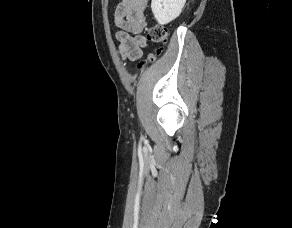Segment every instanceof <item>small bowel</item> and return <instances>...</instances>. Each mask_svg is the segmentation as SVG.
<instances>
[{
	"label": "small bowel",
	"mask_w": 292,
	"mask_h": 228,
	"mask_svg": "<svg viewBox=\"0 0 292 228\" xmlns=\"http://www.w3.org/2000/svg\"><path fill=\"white\" fill-rule=\"evenodd\" d=\"M147 3L148 0H121L114 11V21L119 28L116 32L119 52L128 61L139 59L146 45L141 32L146 25Z\"/></svg>",
	"instance_id": "1"
}]
</instances>
